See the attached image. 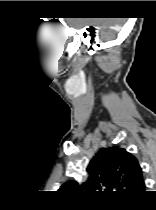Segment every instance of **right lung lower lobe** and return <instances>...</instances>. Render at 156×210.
Masks as SVG:
<instances>
[{
	"label": "right lung lower lobe",
	"mask_w": 156,
	"mask_h": 210,
	"mask_svg": "<svg viewBox=\"0 0 156 210\" xmlns=\"http://www.w3.org/2000/svg\"><path fill=\"white\" fill-rule=\"evenodd\" d=\"M143 194V193H142ZM141 196V194L139 196H137L136 198L132 199V200H137L139 197Z\"/></svg>",
	"instance_id": "obj_1"
}]
</instances>
